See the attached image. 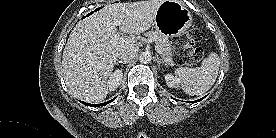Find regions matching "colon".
<instances>
[{
	"instance_id": "5ec220e1",
	"label": "colon",
	"mask_w": 276,
	"mask_h": 138,
	"mask_svg": "<svg viewBox=\"0 0 276 138\" xmlns=\"http://www.w3.org/2000/svg\"><path fill=\"white\" fill-rule=\"evenodd\" d=\"M203 32L200 29H192L185 35L173 40L174 58L179 65H192L203 58V49L195 46L201 41Z\"/></svg>"
}]
</instances>
